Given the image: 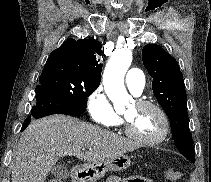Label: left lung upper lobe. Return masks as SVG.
<instances>
[{
  "instance_id": "left-lung-upper-lobe-1",
  "label": "left lung upper lobe",
  "mask_w": 211,
  "mask_h": 182,
  "mask_svg": "<svg viewBox=\"0 0 211 182\" xmlns=\"http://www.w3.org/2000/svg\"><path fill=\"white\" fill-rule=\"evenodd\" d=\"M142 60L153 78L154 95L170 120L176 147L194 163L195 151L188 123L187 96L183 75L177 61L156 44L144 46Z\"/></svg>"
}]
</instances>
